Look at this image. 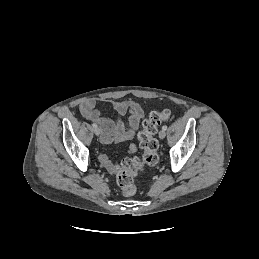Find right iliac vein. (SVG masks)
Returning <instances> with one entry per match:
<instances>
[{
	"label": "right iliac vein",
	"instance_id": "obj_1",
	"mask_svg": "<svg viewBox=\"0 0 259 259\" xmlns=\"http://www.w3.org/2000/svg\"><path fill=\"white\" fill-rule=\"evenodd\" d=\"M94 133H95V135H100V133H101V130L99 129V128H95L94 129Z\"/></svg>",
	"mask_w": 259,
	"mask_h": 259
}]
</instances>
